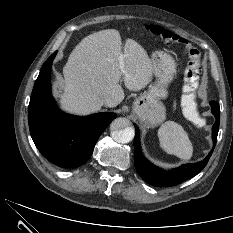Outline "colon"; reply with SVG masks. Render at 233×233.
<instances>
[{
  "label": "colon",
  "mask_w": 233,
  "mask_h": 233,
  "mask_svg": "<svg viewBox=\"0 0 233 233\" xmlns=\"http://www.w3.org/2000/svg\"><path fill=\"white\" fill-rule=\"evenodd\" d=\"M146 29L153 36L164 42L176 43L182 45L185 48L188 54L189 61L184 75L183 107L190 118L192 119L199 118V113L195 102V93L199 85V77H200V64H201L200 51L194 46H192L184 38L160 26L147 25Z\"/></svg>",
  "instance_id": "colon-1"
}]
</instances>
